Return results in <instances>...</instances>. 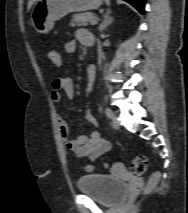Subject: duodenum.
Instances as JSON below:
<instances>
[{"label":"duodenum","instance_id":"obj_1","mask_svg":"<svg viewBox=\"0 0 188 213\" xmlns=\"http://www.w3.org/2000/svg\"><path fill=\"white\" fill-rule=\"evenodd\" d=\"M94 76H95V75H94L93 73H91V79H93V78H94Z\"/></svg>","mask_w":188,"mask_h":213}]
</instances>
